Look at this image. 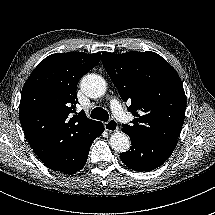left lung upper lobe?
Returning <instances> with one entry per match:
<instances>
[{"label":"left lung upper lobe","instance_id":"5c2ea615","mask_svg":"<svg viewBox=\"0 0 215 215\" xmlns=\"http://www.w3.org/2000/svg\"><path fill=\"white\" fill-rule=\"evenodd\" d=\"M102 63L121 98L131 102L129 136L147 140H177L185 117L186 97L174 68L154 52L102 53ZM140 113V114H139Z\"/></svg>","mask_w":215,"mask_h":215}]
</instances>
